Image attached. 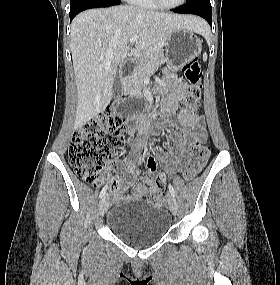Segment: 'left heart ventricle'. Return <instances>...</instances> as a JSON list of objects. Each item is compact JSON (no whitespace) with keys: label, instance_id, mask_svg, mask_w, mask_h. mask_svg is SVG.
<instances>
[{"label":"left heart ventricle","instance_id":"b2bd125f","mask_svg":"<svg viewBox=\"0 0 280 285\" xmlns=\"http://www.w3.org/2000/svg\"><path fill=\"white\" fill-rule=\"evenodd\" d=\"M165 5H173L179 2V0H160Z\"/></svg>","mask_w":280,"mask_h":285}]
</instances>
